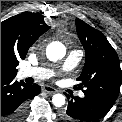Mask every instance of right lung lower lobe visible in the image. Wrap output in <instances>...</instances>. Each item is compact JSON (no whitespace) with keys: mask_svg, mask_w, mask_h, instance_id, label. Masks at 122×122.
Masks as SVG:
<instances>
[{"mask_svg":"<svg viewBox=\"0 0 122 122\" xmlns=\"http://www.w3.org/2000/svg\"><path fill=\"white\" fill-rule=\"evenodd\" d=\"M15 77L1 76V122H20L27 110V101L40 93L37 84L17 82Z\"/></svg>","mask_w":122,"mask_h":122,"instance_id":"98d812e1","label":"right lung lower lobe"}]
</instances>
